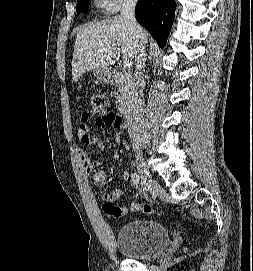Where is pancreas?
<instances>
[{
	"label": "pancreas",
	"mask_w": 253,
	"mask_h": 271,
	"mask_svg": "<svg viewBox=\"0 0 253 271\" xmlns=\"http://www.w3.org/2000/svg\"><path fill=\"white\" fill-rule=\"evenodd\" d=\"M116 85L118 86V91L120 93L117 98V108L123 110L130 102L133 93L134 79L132 74L128 72L120 74L116 81Z\"/></svg>",
	"instance_id": "1"
}]
</instances>
